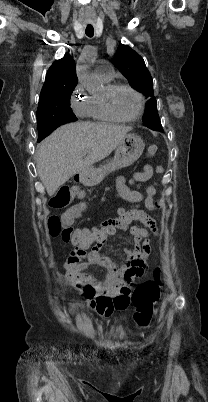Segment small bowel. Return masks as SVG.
<instances>
[{
	"label": "small bowel",
	"instance_id": "small-bowel-1",
	"mask_svg": "<svg viewBox=\"0 0 208 402\" xmlns=\"http://www.w3.org/2000/svg\"><path fill=\"white\" fill-rule=\"evenodd\" d=\"M162 170L161 166L154 168L150 164H146L141 171L134 173V179L138 182H146L152 178L154 172L161 173ZM117 190L119 195L130 204L129 208L123 209L125 214L123 223L121 221H101L99 231L94 233L98 242L88 254V263L80 262L79 267H66V277L72 286L80 290L83 298L89 299L93 295L108 296L116 301V307H124L128 302L127 295L130 293L131 284L143 274L147 266L151 250L150 237H160V231L155 221L139 207V204L152 210L158 208L160 203L153 199L156 191L154 185L148 187L145 192L131 190L126 185L125 176L119 177ZM132 220L141 222L144 227L131 226ZM116 228L126 230L136 245L144 243L141 248L124 249L126 263L120 267L113 265L101 254L104 243L112 241L111 237H107V233L115 232ZM88 264L99 265L104 270L105 277L102 283L85 271Z\"/></svg>",
	"mask_w": 208,
	"mask_h": 402
}]
</instances>
